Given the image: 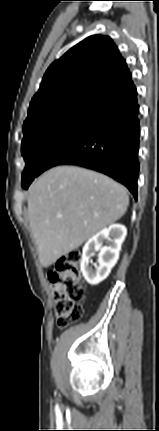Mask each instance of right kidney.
<instances>
[{
	"mask_svg": "<svg viewBox=\"0 0 159 431\" xmlns=\"http://www.w3.org/2000/svg\"><path fill=\"white\" fill-rule=\"evenodd\" d=\"M127 230L121 224H113L90 238L83 247L81 271L85 280L91 285H98L110 274L119 259L121 245ZM103 243L106 245L103 246ZM99 251V266L94 270L91 258Z\"/></svg>",
	"mask_w": 159,
	"mask_h": 431,
	"instance_id": "ca27d5eb",
	"label": "right kidney"
}]
</instances>
